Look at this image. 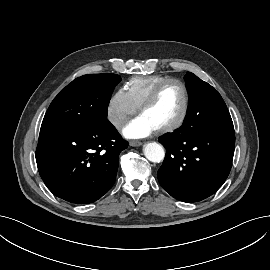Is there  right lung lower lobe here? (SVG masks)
Segmentation results:
<instances>
[{
	"label": "right lung lower lobe",
	"mask_w": 270,
	"mask_h": 270,
	"mask_svg": "<svg viewBox=\"0 0 270 270\" xmlns=\"http://www.w3.org/2000/svg\"><path fill=\"white\" fill-rule=\"evenodd\" d=\"M127 145L109 121L84 128L45 127L40 129L36 162L55 196L88 204L114 184L118 157Z\"/></svg>",
	"instance_id": "obj_1"
}]
</instances>
